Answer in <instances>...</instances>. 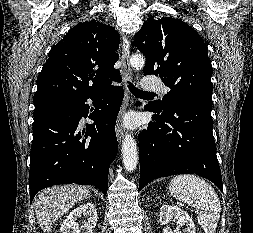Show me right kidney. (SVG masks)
Returning a JSON list of instances; mask_svg holds the SVG:
<instances>
[{"label":"right kidney","instance_id":"1","mask_svg":"<svg viewBox=\"0 0 253 233\" xmlns=\"http://www.w3.org/2000/svg\"><path fill=\"white\" fill-rule=\"evenodd\" d=\"M81 216H87L88 220L79 227L76 221ZM97 219L95 205L89 202L84 203L70 212L61 225L60 233H93L92 229L96 227Z\"/></svg>","mask_w":253,"mask_h":233}]
</instances>
